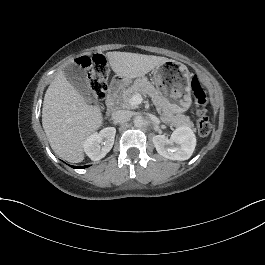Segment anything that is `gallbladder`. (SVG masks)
<instances>
[{"label":"gallbladder","mask_w":265,"mask_h":265,"mask_svg":"<svg viewBox=\"0 0 265 265\" xmlns=\"http://www.w3.org/2000/svg\"><path fill=\"white\" fill-rule=\"evenodd\" d=\"M65 76L81 95L86 96L89 94L90 86L87 80V73L83 68L71 63L65 68Z\"/></svg>","instance_id":"obj_1"}]
</instances>
